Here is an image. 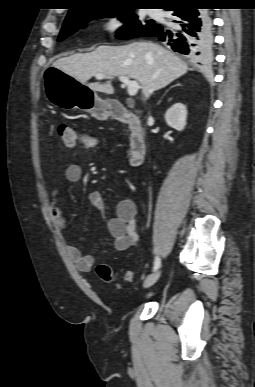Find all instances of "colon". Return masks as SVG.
Listing matches in <instances>:
<instances>
[{
	"label": "colon",
	"instance_id": "5ec220e1",
	"mask_svg": "<svg viewBox=\"0 0 255 387\" xmlns=\"http://www.w3.org/2000/svg\"><path fill=\"white\" fill-rule=\"evenodd\" d=\"M58 137L61 143L67 147L72 148L80 141L87 146H98L101 144V140L93 135L77 130L71 125L61 124L57 129ZM96 272L99 278L106 282L112 283L114 281V273L112 268L106 263H100L96 267ZM135 275L132 271H126L124 274V280L127 282H133Z\"/></svg>",
	"mask_w": 255,
	"mask_h": 387
}]
</instances>
